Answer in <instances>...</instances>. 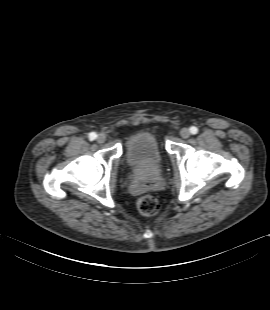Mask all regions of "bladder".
<instances>
[{
  "instance_id": "bladder-1",
  "label": "bladder",
  "mask_w": 270,
  "mask_h": 310,
  "mask_svg": "<svg viewBox=\"0 0 270 310\" xmlns=\"http://www.w3.org/2000/svg\"><path fill=\"white\" fill-rule=\"evenodd\" d=\"M124 157L130 167L157 170L164 155L156 134L150 130H140L127 140Z\"/></svg>"
}]
</instances>
